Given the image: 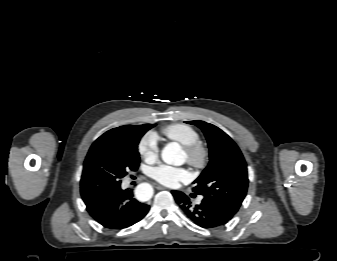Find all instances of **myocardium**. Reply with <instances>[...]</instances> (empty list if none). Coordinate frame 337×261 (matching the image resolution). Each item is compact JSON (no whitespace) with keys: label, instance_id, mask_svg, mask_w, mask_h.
Wrapping results in <instances>:
<instances>
[{"label":"myocardium","instance_id":"f54148a6","mask_svg":"<svg viewBox=\"0 0 337 261\" xmlns=\"http://www.w3.org/2000/svg\"><path fill=\"white\" fill-rule=\"evenodd\" d=\"M184 151L187 156L189 165L196 169H204L210 160V151L206 145L201 142H196L184 146Z\"/></svg>","mask_w":337,"mask_h":261}]
</instances>
